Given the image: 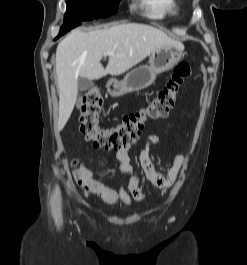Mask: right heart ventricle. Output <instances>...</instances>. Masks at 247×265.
<instances>
[{"mask_svg": "<svg viewBox=\"0 0 247 265\" xmlns=\"http://www.w3.org/2000/svg\"><path fill=\"white\" fill-rule=\"evenodd\" d=\"M140 3L146 14L156 19L175 15L177 12L176 0H140Z\"/></svg>", "mask_w": 247, "mask_h": 265, "instance_id": "1", "label": "right heart ventricle"}]
</instances>
